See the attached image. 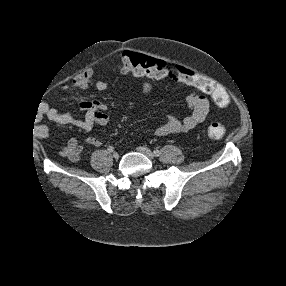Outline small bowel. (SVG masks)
Returning <instances> with one entry per match:
<instances>
[{
    "label": "small bowel",
    "instance_id": "c3829d8e",
    "mask_svg": "<svg viewBox=\"0 0 286 286\" xmlns=\"http://www.w3.org/2000/svg\"><path fill=\"white\" fill-rule=\"evenodd\" d=\"M171 79L195 87L191 83L176 78ZM106 87L107 83L104 80H98L96 82L97 89L103 90ZM141 88L143 93L150 94L153 91L154 86L151 81L143 80L141 82ZM186 103L189 114L182 119H179L174 115H169L166 122L156 129V134L158 136L188 132L205 120L209 112V101L205 96L200 95L195 91H190L186 96ZM80 108L85 112L82 119H77L69 114L61 113L55 108H50L47 111V117L55 124L70 125L84 131H90L95 125H107L109 118L105 112V105L101 101L83 100L80 102ZM43 133L45 136H48L50 131L48 128H44ZM86 142L95 147L101 145V140L95 136H88ZM82 152V145H80L75 138H70L62 146L59 154L63 157H67L72 162H77L80 160Z\"/></svg>",
    "mask_w": 286,
    "mask_h": 286
}]
</instances>
